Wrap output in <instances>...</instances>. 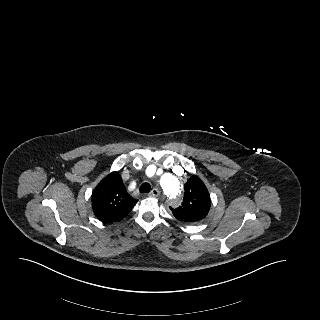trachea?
Segmentation results:
<instances>
[{
	"instance_id": "trachea-1",
	"label": "trachea",
	"mask_w": 320,
	"mask_h": 320,
	"mask_svg": "<svg viewBox=\"0 0 320 320\" xmlns=\"http://www.w3.org/2000/svg\"><path fill=\"white\" fill-rule=\"evenodd\" d=\"M151 190V185L149 183H143L140 186V192L141 193H148Z\"/></svg>"
}]
</instances>
